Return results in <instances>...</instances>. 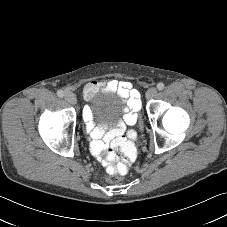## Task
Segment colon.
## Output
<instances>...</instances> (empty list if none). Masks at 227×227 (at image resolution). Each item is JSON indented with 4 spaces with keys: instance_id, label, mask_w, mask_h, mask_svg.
<instances>
[{
    "instance_id": "1",
    "label": "colon",
    "mask_w": 227,
    "mask_h": 227,
    "mask_svg": "<svg viewBox=\"0 0 227 227\" xmlns=\"http://www.w3.org/2000/svg\"><path fill=\"white\" fill-rule=\"evenodd\" d=\"M138 117L140 118L139 122L141 123L140 130L143 132L145 130V128H144L145 122L143 120L144 115L142 113H140L138 115ZM104 161L107 165L106 180L109 183L119 182L122 179V175L125 174L127 171V165H121V167L114 165V163L118 161V154L112 149H109L106 152Z\"/></svg>"
}]
</instances>
